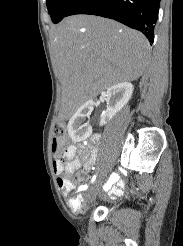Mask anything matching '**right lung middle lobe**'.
<instances>
[{
  "mask_svg": "<svg viewBox=\"0 0 183 246\" xmlns=\"http://www.w3.org/2000/svg\"><path fill=\"white\" fill-rule=\"evenodd\" d=\"M77 0H46L48 12L53 23L60 22Z\"/></svg>",
  "mask_w": 183,
  "mask_h": 246,
  "instance_id": "1",
  "label": "right lung middle lobe"
}]
</instances>
